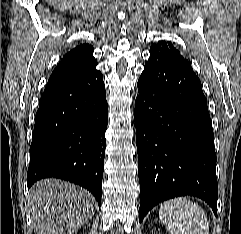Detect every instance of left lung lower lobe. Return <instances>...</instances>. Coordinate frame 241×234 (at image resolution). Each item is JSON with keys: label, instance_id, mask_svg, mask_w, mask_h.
<instances>
[{"label": "left lung lower lobe", "instance_id": "obj_1", "mask_svg": "<svg viewBox=\"0 0 241 234\" xmlns=\"http://www.w3.org/2000/svg\"><path fill=\"white\" fill-rule=\"evenodd\" d=\"M135 101L139 221L158 203L193 195L217 215L216 153L207 100L190 63L150 48Z\"/></svg>", "mask_w": 241, "mask_h": 234}]
</instances>
